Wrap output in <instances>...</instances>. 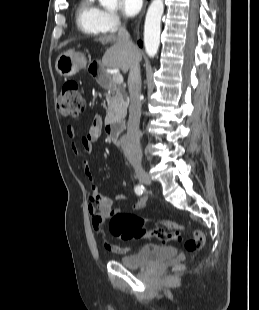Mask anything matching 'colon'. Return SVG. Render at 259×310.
Segmentation results:
<instances>
[{
  "label": "colon",
  "instance_id": "colon-1",
  "mask_svg": "<svg viewBox=\"0 0 259 310\" xmlns=\"http://www.w3.org/2000/svg\"><path fill=\"white\" fill-rule=\"evenodd\" d=\"M57 110L66 117H79L84 111V99L81 88L76 81H67L63 84L62 90L57 98ZM147 219L129 212L114 213L109 222L111 235L122 240H138L155 238L162 242L180 240V231L183 226L178 222H160L168 230L155 228L148 230L144 227ZM204 244L203 233L199 230L193 232L192 236L185 241V249L188 253L199 251ZM179 265L177 269H181Z\"/></svg>",
  "mask_w": 259,
  "mask_h": 310
}]
</instances>
